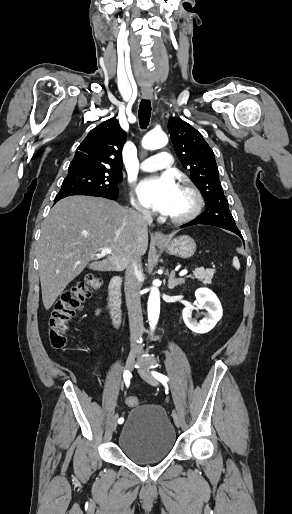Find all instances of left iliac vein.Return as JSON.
<instances>
[{
	"instance_id": "1",
	"label": "left iliac vein",
	"mask_w": 292,
	"mask_h": 514,
	"mask_svg": "<svg viewBox=\"0 0 292 514\" xmlns=\"http://www.w3.org/2000/svg\"><path fill=\"white\" fill-rule=\"evenodd\" d=\"M138 373L150 385L157 386L159 384L157 379L150 373V371L147 368H139ZM173 418L175 425L179 428L181 426V421L176 411H173Z\"/></svg>"
}]
</instances>
